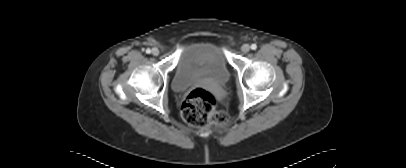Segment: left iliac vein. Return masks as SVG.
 Wrapping results in <instances>:
<instances>
[{
    "label": "left iliac vein",
    "instance_id": "4c4485c4",
    "mask_svg": "<svg viewBox=\"0 0 406 168\" xmlns=\"http://www.w3.org/2000/svg\"><path fill=\"white\" fill-rule=\"evenodd\" d=\"M241 51H242L243 53H248V52L250 51V46H249L248 44L242 45Z\"/></svg>",
    "mask_w": 406,
    "mask_h": 168
}]
</instances>
